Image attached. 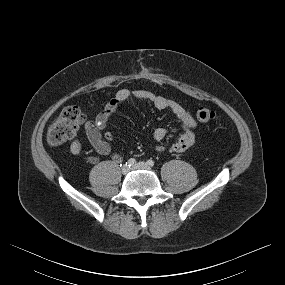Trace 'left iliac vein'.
<instances>
[{
	"instance_id": "obj_1",
	"label": "left iliac vein",
	"mask_w": 285,
	"mask_h": 285,
	"mask_svg": "<svg viewBox=\"0 0 285 285\" xmlns=\"http://www.w3.org/2000/svg\"><path fill=\"white\" fill-rule=\"evenodd\" d=\"M133 170H150V167L145 162H138L132 167Z\"/></svg>"
}]
</instances>
